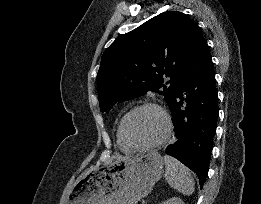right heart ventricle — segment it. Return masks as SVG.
<instances>
[{
	"label": "right heart ventricle",
	"instance_id": "obj_1",
	"mask_svg": "<svg viewBox=\"0 0 261 204\" xmlns=\"http://www.w3.org/2000/svg\"><path fill=\"white\" fill-rule=\"evenodd\" d=\"M116 141H117V145H118V148L123 152V153H131L132 150L129 149L128 147H126L123 142L121 141L120 139V136H119V128L117 129L116 131Z\"/></svg>",
	"mask_w": 261,
	"mask_h": 204
}]
</instances>
